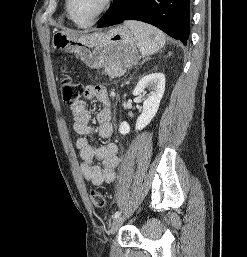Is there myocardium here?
Segmentation results:
<instances>
[{
  "mask_svg": "<svg viewBox=\"0 0 247 257\" xmlns=\"http://www.w3.org/2000/svg\"><path fill=\"white\" fill-rule=\"evenodd\" d=\"M113 3V0H103L102 6L101 8L98 10V12L92 17L91 20H89L86 23H81L79 21H77L72 13H71V9H70V4H71V0H66L65 2V8H66V13L68 18L78 27L80 28H88L93 26L107 11L108 9L111 7Z\"/></svg>",
  "mask_w": 247,
  "mask_h": 257,
  "instance_id": "f54148a6",
  "label": "myocardium"
}]
</instances>
